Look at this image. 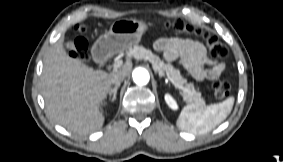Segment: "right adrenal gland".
<instances>
[{
    "label": "right adrenal gland",
    "instance_id": "2a0ac1e0",
    "mask_svg": "<svg viewBox=\"0 0 283 162\" xmlns=\"http://www.w3.org/2000/svg\"><path fill=\"white\" fill-rule=\"evenodd\" d=\"M119 86L120 85H116L113 89L110 90L109 96H110L111 101H114L116 99V94H117V90H118Z\"/></svg>",
    "mask_w": 283,
    "mask_h": 162
}]
</instances>
